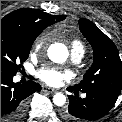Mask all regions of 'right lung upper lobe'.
Masks as SVG:
<instances>
[{
    "instance_id": "right-lung-upper-lobe-1",
    "label": "right lung upper lobe",
    "mask_w": 122,
    "mask_h": 122,
    "mask_svg": "<svg viewBox=\"0 0 122 122\" xmlns=\"http://www.w3.org/2000/svg\"><path fill=\"white\" fill-rule=\"evenodd\" d=\"M65 15H49L38 9L22 8L1 19V26L20 28L28 33H41L46 27L62 21Z\"/></svg>"
}]
</instances>
